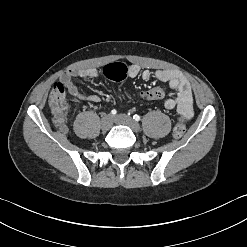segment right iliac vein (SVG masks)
Listing matches in <instances>:
<instances>
[{
  "mask_svg": "<svg viewBox=\"0 0 247 247\" xmlns=\"http://www.w3.org/2000/svg\"><path fill=\"white\" fill-rule=\"evenodd\" d=\"M113 118L110 114H105L101 120V129L103 131H108L112 127Z\"/></svg>",
  "mask_w": 247,
  "mask_h": 247,
  "instance_id": "right-iliac-vein-1",
  "label": "right iliac vein"
}]
</instances>
